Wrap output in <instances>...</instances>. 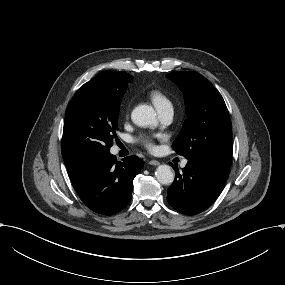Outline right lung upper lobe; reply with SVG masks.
I'll return each mask as SVG.
<instances>
[{
    "instance_id": "1",
    "label": "right lung upper lobe",
    "mask_w": 285,
    "mask_h": 285,
    "mask_svg": "<svg viewBox=\"0 0 285 285\" xmlns=\"http://www.w3.org/2000/svg\"><path fill=\"white\" fill-rule=\"evenodd\" d=\"M131 76L126 72L104 71L84 84L80 91L89 95L108 92L112 89L127 87ZM94 159L88 160H64L69 177L77 172L81 167Z\"/></svg>"
}]
</instances>
